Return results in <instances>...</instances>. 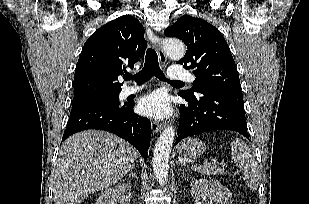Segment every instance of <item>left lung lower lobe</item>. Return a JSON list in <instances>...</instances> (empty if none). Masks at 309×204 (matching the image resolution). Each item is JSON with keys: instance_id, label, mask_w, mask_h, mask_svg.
I'll return each mask as SVG.
<instances>
[{"instance_id": "0a47b994", "label": "left lung lower lobe", "mask_w": 309, "mask_h": 204, "mask_svg": "<svg viewBox=\"0 0 309 204\" xmlns=\"http://www.w3.org/2000/svg\"><path fill=\"white\" fill-rule=\"evenodd\" d=\"M183 97L176 144L186 137L212 130H231L248 138L243 95L240 91L204 90Z\"/></svg>"}]
</instances>
